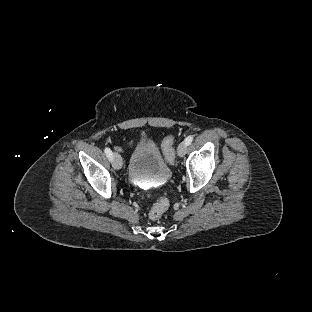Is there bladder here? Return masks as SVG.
<instances>
[{"label": "bladder", "mask_w": 312, "mask_h": 312, "mask_svg": "<svg viewBox=\"0 0 312 312\" xmlns=\"http://www.w3.org/2000/svg\"><path fill=\"white\" fill-rule=\"evenodd\" d=\"M128 171L132 178L139 176L168 178L169 167L162 161L156 144H145L129 157Z\"/></svg>", "instance_id": "bladder-1"}]
</instances>
